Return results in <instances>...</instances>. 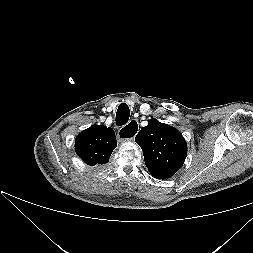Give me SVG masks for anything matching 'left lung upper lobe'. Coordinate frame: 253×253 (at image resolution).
<instances>
[{
  "mask_svg": "<svg viewBox=\"0 0 253 253\" xmlns=\"http://www.w3.org/2000/svg\"><path fill=\"white\" fill-rule=\"evenodd\" d=\"M135 141L142 148L150 174L158 179L174 175L186 158L187 146L182 134L156 119H150L148 125L141 128Z\"/></svg>",
  "mask_w": 253,
  "mask_h": 253,
  "instance_id": "obj_1",
  "label": "left lung upper lobe"
}]
</instances>
